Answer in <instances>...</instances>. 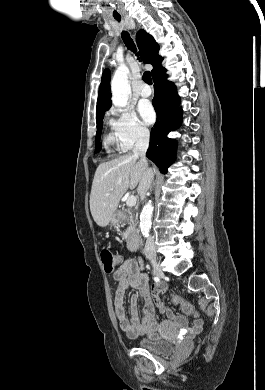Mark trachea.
<instances>
[{
    "instance_id": "trachea-1",
    "label": "trachea",
    "mask_w": 265,
    "mask_h": 390,
    "mask_svg": "<svg viewBox=\"0 0 265 390\" xmlns=\"http://www.w3.org/2000/svg\"><path fill=\"white\" fill-rule=\"evenodd\" d=\"M115 19L118 22H120V18H115ZM121 35H122V39H123L125 45L127 46V48L135 53L136 52V46H135L133 40L131 39L129 33L127 31H123ZM143 80L146 83L150 84V85L152 84V78H151L150 72H145L143 74Z\"/></svg>"
}]
</instances>
